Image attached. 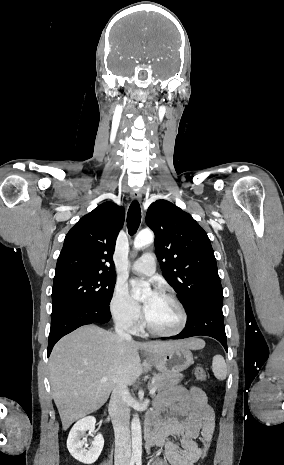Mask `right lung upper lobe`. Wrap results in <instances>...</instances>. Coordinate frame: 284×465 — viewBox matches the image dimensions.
Listing matches in <instances>:
<instances>
[{"label":"right lung upper lobe","instance_id":"right-lung-upper-lobe-1","mask_svg":"<svg viewBox=\"0 0 284 465\" xmlns=\"http://www.w3.org/2000/svg\"><path fill=\"white\" fill-rule=\"evenodd\" d=\"M124 214L122 207L105 202L83 216L65 237L54 279L72 274L116 276L113 253Z\"/></svg>","mask_w":284,"mask_h":465}]
</instances>
